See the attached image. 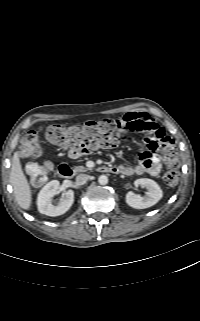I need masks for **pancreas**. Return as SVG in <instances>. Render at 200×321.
<instances>
[{
	"instance_id": "obj_1",
	"label": "pancreas",
	"mask_w": 200,
	"mask_h": 321,
	"mask_svg": "<svg viewBox=\"0 0 200 321\" xmlns=\"http://www.w3.org/2000/svg\"><path fill=\"white\" fill-rule=\"evenodd\" d=\"M88 170L87 167H84V166H76L74 167V171L75 172H86Z\"/></svg>"
}]
</instances>
